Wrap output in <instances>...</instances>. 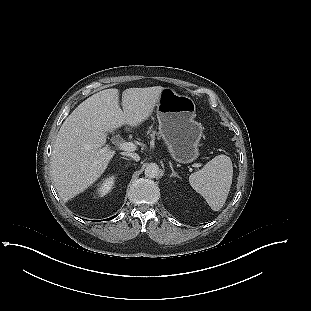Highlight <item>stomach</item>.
I'll use <instances>...</instances> for the list:
<instances>
[{
  "instance_id": "0dacf381",
  "label": "stomach",
  "mask_w": 311,
  "mask_h": 311,
  "mask_svg": "<svg viewBox=\"0 0 311 311\" xmlns=\"http://www.w3.org/2000/svg\"><path fill=\"white\" fill-rule=\"evenodd\" d=\"M156 106L159 133L171 157L179 163L196 160L203 129L194 120L196 106L192 98L164 88Z\"/></svg>"
}]
</instances>
